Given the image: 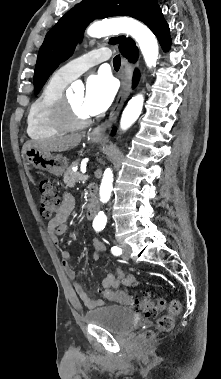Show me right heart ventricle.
Wrapping results in <instances>:
<instances>
[{
	"label": "right heart ventricle",
	"mask_w": 221,
	"mask_h": 379,
	"mask_svg": "<svg viewBox=\"0 0 221 379\" xmlns=\"http://www.w3.org/2000/svg\"><path fill=\"white\" fill-rule=\"evenodd\" d=\"M69 81L54 74L31 103L27 115V134L32 139H47L67 129L55 118V110Z\"/></svg>",
	"instance_id": "right-heart-ventricle-1"
}]
</instances>
